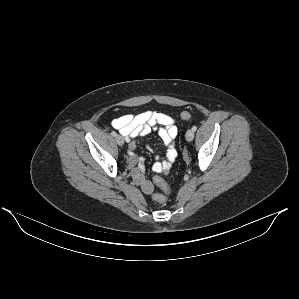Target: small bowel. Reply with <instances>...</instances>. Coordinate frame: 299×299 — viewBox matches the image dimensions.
<instances>
[{"mask_svg": "<svg viewBox=\"0 0 299 299\" xmlns=\"http://www.w3.org/2000/svg\"><path fill=\"white\" fill-rule=\"evenodd\" d=\"M111 125L117 129L129 143L128 163L132 168V175L134 181L142 187L145 194H151L154 190L153 183L146 180L144 177L145 161L139 159L136 155V143L134 138L137 136H144L152 130H157L158 135L166 147V152L163 156H157L153 164V170L157 173L167 175L170 171L172 163L177 157L175 147V138L177 136V127L175 119L167 114L145 111L137 115H124L112 120ZM157 126H160L159 128ZM150 151L152 148L148 147ZM154 178V183L156 179Z\"/></svg>", "mask_w": 299, "mask_h": 299, "instance_id": "1", "label": "small bowel"}]
</instances>
